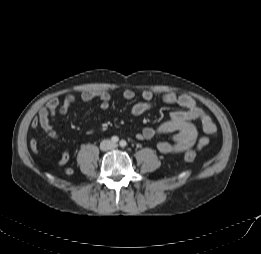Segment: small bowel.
I'll list each match as a JSON object with an SVG mask.
<instances>
[{
  "instance_id": "obj_1",
  "label": "small bowel",
  "mask_w": 261,
  "mask_h": 254,
  "mask_svg": "<svg viewBox=\"0 0 261 254\" xmlns=\"http://www.w3.org/2000/svg\"><path fill=\"white\" fill-rule=\"evenodd\" d=\"M123 96L127 100H132L135 97V92L131 89H126ZM98 98L100 100V107L102 110L107 111L110 108L111 95L107 91H83L80 99L83 102H90ZM142 101L135 103L130 113L133 116H140L156 104H169L177 105L182 110H176L170 113L169 118L158 125L157 127H145L136 134L139 140L153 139L162 134H173V139L162 140L157 143V149L164 155L180 154L189 148L202 150L209 143L211 138L216 134L217 127L211 117L200 107H198L193 98L187 95H178L171 92L162 94H155L150 90H145L142 93ZM77 102V98L69 94L63 100L58 97L50 99L47 104L42 107L37 116L32 121V128H42L45 133L52 139L58 137V133L52 124L57 113L64 115L68 112L70 107ZM194 121L200 122L202 129L205 133L204 136L200 135L198 128L193 123ZM31 151L34 154L39 153V144L36 138H31L29 142ZM70 154L64 151L57 163L63 166L68 163ZM72 169H65L66 175H71Z\"/></svg>"
}]
</instances>
